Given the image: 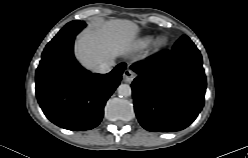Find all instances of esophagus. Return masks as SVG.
<instances>
[{"instance_id":"34e87169","label":"esophagus","mask_w":248,"mask_h":158,"mask_svg":"<svg viewBox=\"0 0 248 158\" xmlns=\"http://www.w3.org/2000/svg\"><path fill=\"white\" fill-rule=\"evenodd\" d=\"M134 78H135V73L132 70L126 69L123 72V81L124 82L131 83Z\"/></svg>"}]
</instances>
